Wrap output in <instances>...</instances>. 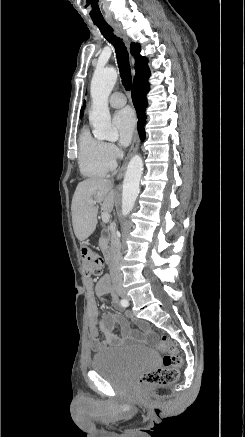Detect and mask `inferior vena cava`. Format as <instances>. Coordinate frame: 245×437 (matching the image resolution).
Here are the masks:
<instances>
[{"mask_svg": "<svg viewBox=\"0 0 245 437\" xmlns=\"http://www.w3.org/2000/svg\"><path fill=\"white\" fill-rule=\"evenodd\" d=\"M121 242L116 232L112 233L110 244L109 271L113 286L122 284V274L120 270Z\"/></svg>", "mask_w": 245, "mask_h": 437, "instance_id": "602c4592", "label": "inferior vena cava"}]
</instances>
